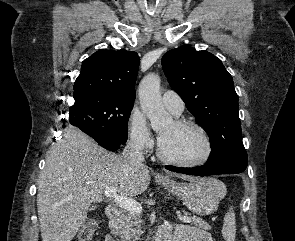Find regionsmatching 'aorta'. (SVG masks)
Segmentation results:
<instances>
[{"mask_svg": "<svg viewBox=\"0 0 295 241\" xmlns=\"http://www.w3.org/2000/svg\"><path fill=\"white\" fill-rule=\"evenodd\" d=\"M139 100L141 108L154 130H160L172 123L173 119L166 112L162 103L158 75L150 73L142 79L139 84Z\"/></svg>", "mask_w": 295, "mask_h": 241, "instance_id": "762f6f07", "label": "aorta"}]
</instances>
